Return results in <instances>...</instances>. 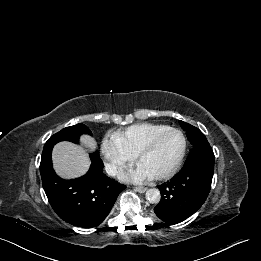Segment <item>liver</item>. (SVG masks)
I'll return each instance as SVG.
<instances>
[{
    "mask_svg": "<svg viewBox=\"0 0 261 261\" xmlns=\"http://www.w3.org/2000/svg\"><path fill=\"white\" fill-rule=\"evenodd\" d=\"M82 143L94 150L96 141L88 136H81ZM52 160L57 174L63 178H76L85 174L90 166V160L86 152L71 142H60L52 150Z\"/></svg>",
    "mask_w": 261,
    "mask_h": 261,
    "instance_id": "1",
    "label": "liver"
}]
</instances>
